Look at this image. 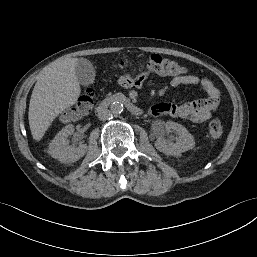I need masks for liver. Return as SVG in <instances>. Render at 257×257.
<instances>
[{
	"label": "liver",
	"instance_id": "1",
	"mask_svg": "<svg viewBox=\"0 0 257 257\" xmlns=\"http://www.w3.org/2000/svg\"><path fill=\"white\" fill-rule=\"evenodd\" d=\"M77 60H56L38 75L28 112L34 140L40 141L53 120L77 102L81 92L75 73Z\"/></svg>",
	"mask_w": 257,
	"mask_h": 257
}]
</instances>
